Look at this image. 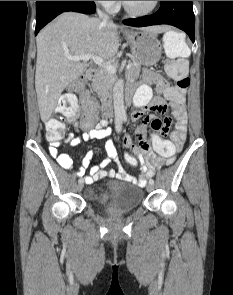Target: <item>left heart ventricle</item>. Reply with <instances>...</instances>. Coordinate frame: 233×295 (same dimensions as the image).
<instances>
[{"instance_id":"b2bd125f","label":"left heart ventricle","mask_w":233,"mask_h":295,"mask_svg":"<svg viewBox=\"0 0 233 295\" xmlns=\"http://www.w3.org/2000/svg\"><path fill=\"white\" fill-rule=\"evenodd\" d=\"M128 6L138 12H144L150 9L154 1H126Z\"/></svg>"}]
</instances>
